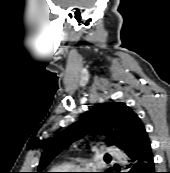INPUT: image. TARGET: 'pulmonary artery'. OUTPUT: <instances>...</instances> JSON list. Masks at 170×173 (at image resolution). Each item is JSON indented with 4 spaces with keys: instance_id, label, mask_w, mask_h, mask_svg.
Here are the masks:
<instances>
[{
    "instance_id": "1",
    "label": "pulmonary artery",
    "mask_w": 170,
    "mask_h": 173,
    "mask_svg": "<svg viewBox=\"0 0 170 173\" xmlns=\"http://www.w3.org/2000/svg\"><path fill=\"white\" fill-rule=\"evenodd\" d=\"M106 152L112 156V157H115V158H120L121 157V153L118 149L116 148H113V147H109L107 148Z\"/></svg>"
}]
</instances>
